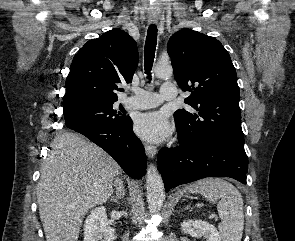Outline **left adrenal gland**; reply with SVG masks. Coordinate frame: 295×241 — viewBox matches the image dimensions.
I'll return each instance as SVG.
<instances>
[{
	"label": "left adrenal gland",
	"instance_id": "a2214340",
	"mask_svg": "<svg viewBox=\"0 0 295 241\" xmlns=\"http://www.w3.org/2000/svg\"><path fill=\"white\" fill-rule=\"evenodd\" d=\"M189 208H191V206L190 205H187L185 209H189Z\"/></svg>",
	"mask_w": 295,
	"mask_h": 241
}]
</instances>
